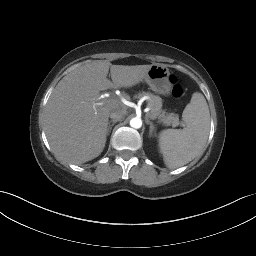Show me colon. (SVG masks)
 <instances>
[{
    "label": "colon",
    "instance_id": "1",
    "mask_svg": "<svg viewBox=\"0 0 256 256\" xmlns=\"http://www.w3.org/2000/svg\"><path fill=\"white\" fill-rule=\"evenodd\" d=\"M171 82L173 84L172 94L174 97L179 98L183 94V88L180 84L177 83L176 77H171Z\"/></svg>",
    "mask_w": 256,
    "mask_h": 256
}]
</instances>
